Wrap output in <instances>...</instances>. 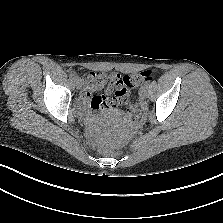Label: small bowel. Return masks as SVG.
I'll use <instances>...</instances> for the list:
<instances>
[{"mask_svg": "<svg viewBox=\"0 0 223 223\" xmlns=\"http://www.w3.org/2000/svg\"><path fill=\"white\" fill-rule=\"evenodd\" d=\"M115 73L92 72L87 79V85L82 93L81 107L84 109L90 104L91 111L86 113V119L93 121L102 112L112 113L117 111L121 105L119 98L115 95V89L111 81L116 77ZM105 89L104 94L92 95L93 92ZM114 91V96L110 97Z\"/></svg>", "mask_w": 223, "mask_h": 223, "instance_id": "obj_1", "label": "small bowel"}]
</instances>
